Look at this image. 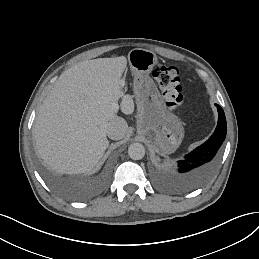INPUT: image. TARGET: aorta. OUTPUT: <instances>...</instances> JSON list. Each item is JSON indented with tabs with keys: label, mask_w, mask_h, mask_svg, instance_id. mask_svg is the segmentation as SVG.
Here are the masks:
<instances>
[{
	"label": "aorta",
	"mask_w": 259,
	"mask_h": 259,
	"mask_svg": "<svg viewBox=\"0 0 259 259\" xmlns=\"http://www.w3.org/2000/svg\"><path fill=\"white\" fill-rule=\"evenodd\" d=\"M128 155L133 160H140L145 155V148L141 143H132L128 148Z\"/></svg>",
	"instance_id": "aorta-1"
}]
</instances>
